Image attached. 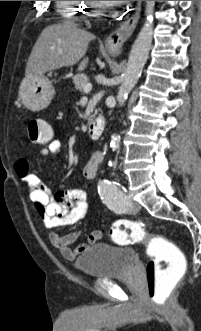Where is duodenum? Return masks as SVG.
<instances>
[{
	"label": "duodenum",
	"mask_w": 201,
	"mask_h": 331,
	"mask_svg": "<svg viewBox=\"0 0 201 331\" xmlns=\"http://www.w3.org/2000/svg\"><path fill=\"white\" fill-rule=\"evenodd\" d=\"M105 129V119L103 116L95 117L89 124V135L93 140H98Z\"/></svg>",
	"instance_id": "duodenum-1"
}]
</instances>
